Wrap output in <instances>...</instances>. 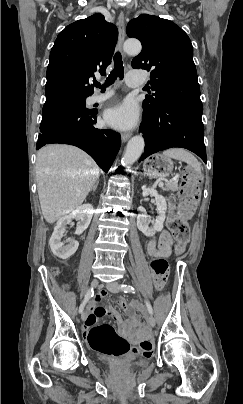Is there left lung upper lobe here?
<instances>
[{
    "mask_svg": "<svg viewBox=\"0 0 243 404\" xmlns=\"http://www.w3.org/2000/svg\"><path fill=\"white\" fill-rule=\"evenodd\" d=\"M127 35L142 43V51L132 67L151 71L150 87L143 116H152L161 105L172 100H200L193 47L187 34L175 23L149 14H141L127 25Z\"/></svg>",
    "mask_w": 243,
    "mask_h": 404,
    "instance_id": "left-lung-upper-lobe-1",
    "label": "left lung upper lobe"
}]
</instances>
